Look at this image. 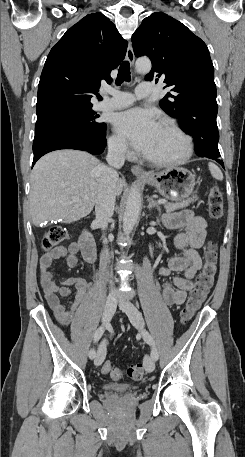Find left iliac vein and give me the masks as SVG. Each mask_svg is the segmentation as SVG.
I'll list each match as a JSON object with an SVG mask.
<instances>
[{
  "label": "left iliac vein",
  "mask_w": 245,
  "mask_h": 457,
  "mask_svg": "<svg viewBox=\"0 0 245 457\" xmlns=\"http://www.w3.org/2000/svg\"><path fill=\"white\" fill-rule=\"evenodd\" d=\"M119 307L121 310L125 312V314L129 317L130 322L134 327L139 330L144 329V319L141 312L137 309V307L129 301H120ZM144 367L146 372L150 373L153 372L155 369V362L151 356H146L144 358Z\"/></svg>",
  "instance_id": "obj_1"
}]
</instances>
